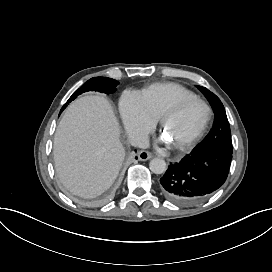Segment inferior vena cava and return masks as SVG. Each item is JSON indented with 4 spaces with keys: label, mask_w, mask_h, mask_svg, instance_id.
I'll use <instances>...</instances> for the list:
<instances>
[{
    "label": "inferior vena cava",
    "mask_w": 272,
    "mask_h": 272,
    "mask_svg": "<svg viewBox=\"0 0 272 272\" xmlns=\"http://www.w3.org/2000/svg\"><path fill=\"white\" fill-rule=\"evenodd\" d=\"M128 141L132 146L139 148H147L149 146L148 135L143 132L130 134Z\"/></svg>",
    "instance_id": "obj_1"
}]
</instances>
